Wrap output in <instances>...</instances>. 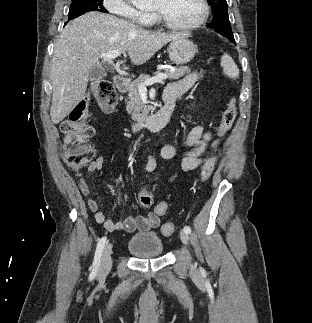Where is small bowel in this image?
Segmentation results:
<instances>
[{"instance_id": "small-bowel-1", "label": "small bowel", "mask_w": 312, "mask_h": 323, "mask_svg": "<svg viewBox=\"0 0 312 323\" xmlns=\"http://www.w3.org/2000/svg\"><path fill=\"white\" fill-rule=\"evenodd\" d=\"M200 79L197 72H191L178 81L170 83L165 91L164 97H172L174 101L187 92ZM216 145V141L212 137L210 131H205L201 125L194 127L188 134L185 148L178 150L174 145H164L160 150V155L165 160L180 159L182 168L186 172H191L204 164L208 159L209 149ZM102 168V159L97 158L88 165V171L91 173L100 171ZM156 168V158L152 152L147 154V162L145 169L152 172ZM79 190L83 196L90 195V186L86 179H80L78 183ZM89 209L95 214V219L102 224L108 232L116 230H124L126 232L148 231L155 229L160 224L162 216H156L154 212L146 215H129L123 221L115 223L106 217L105 212L99 207L95 199H88Z\"/></svg>"}]
</instances>
